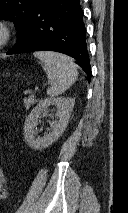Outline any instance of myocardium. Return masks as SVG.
Returning a JSON list of instances; mask_svg holds the SVG:
<instances>
[{"label":"myocardium","mask_w":128,"mask_h":213,"mask_svg":"<svg viewBox=\"0 0 128 213\" xmlns=\"http://www.w3.org/2000/svg\"><path fill=\"white\" fill-rule=\"evenodd\" d=\"M0 34V48H2L11 41L13 36L11 25L4 19H0Z\"/></svg>","instance_id":"myocardium-1"}]
</instances>
